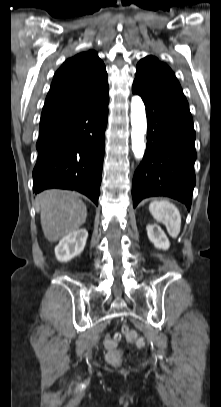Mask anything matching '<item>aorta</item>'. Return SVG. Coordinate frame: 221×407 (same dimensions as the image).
Returning <instances> with one entry per match:
<instances>
[{
    "label": "aorta",
    "instance_id": "1",
    "mask_svg": "<svg viewBox=\"0 0 221 407\" xmlns=\"http://www.w3.org/2000/svg\"><path fill=\"white\" fill-rule=\"evenodd\" d=\"M131 137L132 151L137 160L143 158L145 152V134L147 131V120L145 106L142 99L135 95L131 99Z\"/></svg>",
    "mask_w": 221,
    "mask_h": 407
}]
</instances>
